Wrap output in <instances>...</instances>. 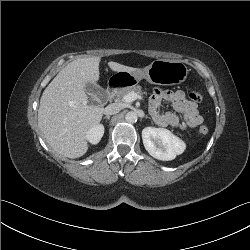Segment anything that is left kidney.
Returning a JSON list of instances; mask_svg holds the SVG:
<instances>
[{
  "mask_svg": "<svg viewBox=\"0 0 250 250\" xmlns=\"http://www.w3.org/2000/svg\"><path fill=\"white\" fill-rule=\"evenodd\" d=\"M142 140L147 152L162 161L175 159L184 152L185 143L164 128L146 127L142 130Z\"/></svg>",
  "mask_w": 250,
  "mask_h": 250,
  "instance_id": "5707ae66",
  "label": "left kidney"
}]
</instances>
